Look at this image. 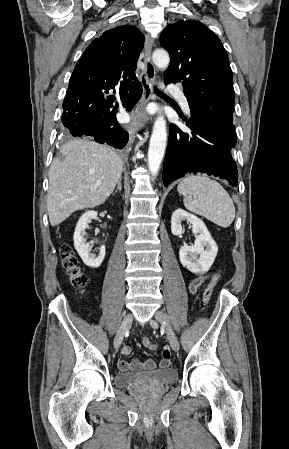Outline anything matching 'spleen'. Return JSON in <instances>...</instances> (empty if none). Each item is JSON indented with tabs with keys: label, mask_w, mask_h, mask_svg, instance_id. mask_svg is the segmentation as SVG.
Returning <instances> with one entry per match:
<instances>
[{
	"label": "spleen",
	"mask_w": 289,
	"mask_h": 449,
	"mask_svg": "<svg viewBox=\"0 0 289 449\" xmlns=\"http://www.w3.org/2000/svg\"><path fill=\"white\" fill-rule=\"evenodd\" d=\"M187 210L205 217L220 227H229L235 218V207L220 183L206 175H189L178 185Z\"/></svg>",
	"instance_id": "obj_1"
}]
</instances>
